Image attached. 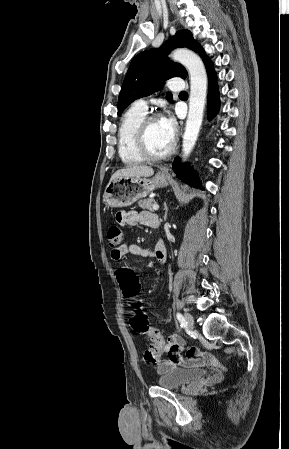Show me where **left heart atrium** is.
Segmentation results:
<instances>
[{"label": "left heart atrium", "instance_id": "left-heart-atrium-1", "mask_svg": "<svg viewBox=\"0 0 289 449\" xmlns=\"http://www.w3.org/2000/svg\"><path fill=\"white\" fill-rule=\"evenodd\" d=\"M163 125L166 130L170 133V135L174 138L176 132L175 121L172 117L168 116L162 119Z\"/></svg>", "mask_w": 289, "mask_h": 449}]
</instances>
